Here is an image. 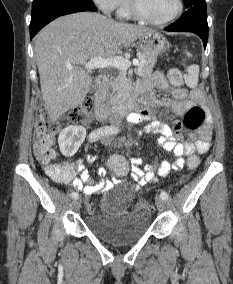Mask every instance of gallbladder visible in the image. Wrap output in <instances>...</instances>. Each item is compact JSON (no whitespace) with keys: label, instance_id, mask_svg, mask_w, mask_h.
<instances>
[{"label":"gallbladder","instance_id":"gallbladder-1","mask_svg":"<svg viewBox=\"0 0 233 284\" xmlns=\"http://www.w3.org/2000/svg\"><path fill=\"white\" fill-rule=\"evenodd\" d=\"M96 90V85L94 82H91V85H90V91L91 92H94Z\"/></svg>","mask_w":233,"mask_h":284}]
</instances>
